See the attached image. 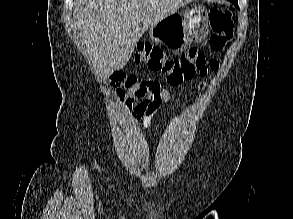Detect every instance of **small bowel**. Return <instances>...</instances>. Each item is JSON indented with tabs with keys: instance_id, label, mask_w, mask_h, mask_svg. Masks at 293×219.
Instances as JSON below:
<instances>
[{
	"instance_id": "1",
	"label": "small bowel",
	"mask_w": 293,
	"mask_h": 219,
	"mask_svg": "<svg viewBox=\"0 0 293 219\" xmlns=\"http://www.w3.org/2000/svg\"><path fill=\"white\" fill-rule=\"evenodd\" d=\"M136 98L140 100L131 107L135 119H143L144 125L149 126L153 113L159 108L162 102L170 101V94L162 89L160 84L151 79L143 80L134 90Z\"/></svg>"
}]
</instances>
